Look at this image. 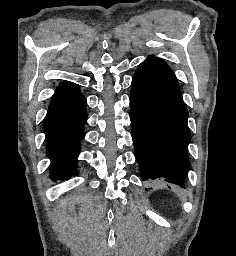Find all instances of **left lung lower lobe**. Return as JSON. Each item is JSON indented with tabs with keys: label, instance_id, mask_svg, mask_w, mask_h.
<instances>
[{
	"label": "left lung lower lobe",
	"instance_id": "left-lung-lower-lobe-1",
	"mask_svg": "<svg viewBox=\"0 0 236 256\" xmlns=\"http://www.w3.org/2000/svg\"><path fill=\"white\" fill-rule=\"evenodd\" d=\"M131 86L132 138L142 181L160 180L185 188L191 135L179 87L142 68Z\"/></svg>",
	"mask_w": 236,
	"mask_h": 256
}]
</instances>
